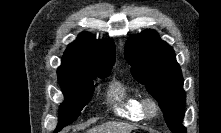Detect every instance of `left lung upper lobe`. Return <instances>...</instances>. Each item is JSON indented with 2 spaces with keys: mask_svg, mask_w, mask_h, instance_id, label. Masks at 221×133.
I'll return each instance as SVG.
<instances>
[{
  "mask_svg": "<svg viewBox=\"0 0 221 133\" xmlns=\"http://www.w3.org/2000/svg\"><path fill=\"white\" fill-rule=\"evenodd\" d=\"M125 58L133 77L146 85L159 102L164 118L173 133H186L184 118L186 95L183 77L174 50L153 30L129 38Z\"/></svg>",
  "mask_w": 221,
  "mask_h": 133,
  "instance_id": "5c2ea615",
  "label": "left lung upper lobe"
}]
</instances>
